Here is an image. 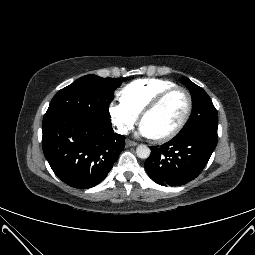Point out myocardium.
<instances>
[{"mask_svg":"<svg viewBox=\"0 0 255 255\" xmlns=\"http://www.w3.org/2000/svg\"><path fill=\"white\" fill-rule=\"evenodd\" d=\"M176 91H182L186 95L187 108H186L185 114L183 118L181 119V121L179 122V124L173 130H171L170 132L162 136L154 137V139L158 142H166L171 140L172 138L177 136L187 124L193 109V99H192V95L190 91L187 88L182 86H174L169 89H166L165 91L158 94L141 112V123H143L147 115H149L151 112L157 109L169 95H171L172 93Z\"/></svg>","mask_w":255,"mask_h":255,"instance_id":"f54148a6","label":"myocardium"}]
</instances>
